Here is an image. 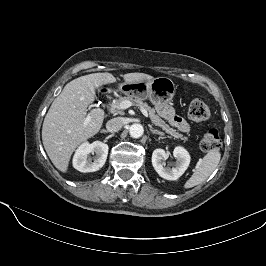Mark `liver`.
Returning a JSON list of instances; mask_svg holds the SVG:
<instances>
[{"instance_id": "liver-1", "label": "liver", "mask_w": 266, "mask_h": 266, "mask_svg": "<svg viewBox=\"0 0 266 266\" xmlns=\"http://www.w3.org/2000/svg\"><path fill=\"white\" fill-rule=\"evenodd\" d=\"M123 79L130 83L150 81L154 77L145 73H128L123 75ZM115 82V77L108 72L81 76L67 83L53 101L43 122L42 141L50 160L61 172H67L75 149L97 134L102 127V110L93 109L87 115L88 105L96 98V89ZM88 116L90 122L84 126Z\"/></svg>"}]
</instances>
